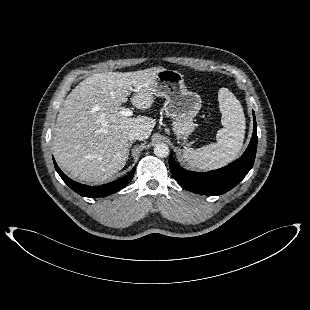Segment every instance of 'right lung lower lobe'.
<instances>
[{
  "mask_svg": "<svg viewBox=\"0 0 310 310\" xmlns=\"http://www.w3.org/2000/svg\"><path fill=\"white\" fill-rule=\"evenodd\" d=\"M54 166L60 177L63 179V181L75 192H77L79 195L84 197H90V198H97V197H104L108 196L110 194H113L122 188H124L133 178L135 167L132 169V171L126 175L125 177L108 183L106 185L94 187V186H87L80 183H77L70 178H68L58 167L57 163L53 159Z\"/></svg>",
  "mask_w": 310,
  "mask_h": 310,
  "instance_id": "98d812e1",
  "label": "right lung lower lobe"
}]
</instances>
